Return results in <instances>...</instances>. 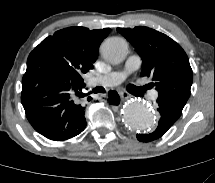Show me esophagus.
Listing matches in <instances>:
<instances>
[{
    "mask_svg": "<svg viewBox=\"0 0 215 183\" xmlns=\"http://www.w3.org/2000/svg\"><path fill=\"white\" fill-rule=\"evenodd\" d=\"M121 97H122L123 100H127L130 97V94L127 93V92H122Z\"/></svg>",
    "mask_w": 215,
    "mask_h": 183,
    "instance_id": "obj_1",
    "label": "esophagus"
}]
</instances>
